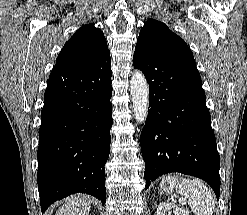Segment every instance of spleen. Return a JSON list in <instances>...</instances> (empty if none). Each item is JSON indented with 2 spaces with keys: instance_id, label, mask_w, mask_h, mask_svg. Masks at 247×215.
<instances>
[{
  "instance_id": "1",
  "label": "spleen",
  "mask_w": 247,
  "mask_h": 215,
  "mask_svg": "<svg viewBox=\"0 0 247 215\" xmlns=\"http://www.w3.org/2000/svg\"><path fill=\"white\" fill-rule=\"evenodd\" d=\"M176 191L182 194L179 202H188L190 209L196 215H213L215 208L214 197L209 188L198 178L177 180Z\"/></svg>"
}]
</instances>
